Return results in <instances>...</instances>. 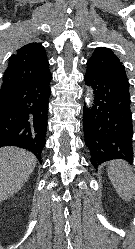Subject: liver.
Here are the masks:
<instances>
[{"label": "liver", "instance_id": "liver-1", "mask_svg": "<svg viewBox=\"0 0 135 249\" xmlns=\"http://www.w3.org/2000/svg\"><path fill=\"white\" fill-rule=\"evenodd\" d=\"M37 159L18 147L0 149V202L17 193L33 172Z\"/></svg>", "mask_w": 135, "mask_h": 249}]
</instances>
